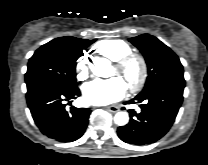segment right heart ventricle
<instances>
[{"label": "right heart ventricle", "mask_w": 208, "mask_h": 165, "mask_svg": "<svg viewBox=\"0 0 208 165\" xmlns=\"http://www.w3.org/2000/svg\"><path fill=\"white\" fill-rule=\"evenodd\" d=\"M94 50L112 61L132 52L131 46L120 39H105L99 41L94 46Z\"/></svg>", "instance_id": "e07e8e85"}]
</instances>
